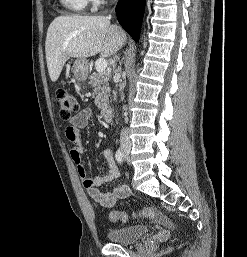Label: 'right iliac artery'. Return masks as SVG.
I'll return each instance as SVG.
<instances>
[{
    "label": "right iliac artery",
    "mask_w": 247,
    "mask_h": 257,
    "mask_svg": "<svg viewBox=\"0 0 247 257\" xmlns=\"http://www.w3.org/2000/svg\"><path fill=\"white\" fill-rule=\"evenodd\" d=\"M115 158H116V160H117V162H118L119 164H123V154H122V152L120 151V149L117 150V152H116V154H115Z\"/></svg>",
    "instance_id": "82829eb1"
}]
</instances>
